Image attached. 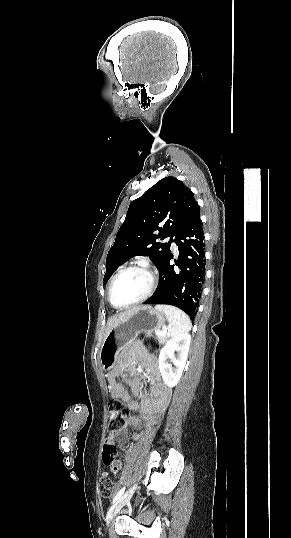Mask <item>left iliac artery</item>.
<instances>
[{
	"label": "left iliac artery",
	"mask_w": 291,
	"mask_h": 538,
	"mask_svg": "<svg viewBox=\"0 0 291 538\" xmlns=\"http://www.w3.org/2000/svg\"><path fill=\"white\" fill-rule=\"evenodd\" d=\"M124 491H125V487H123V488H121V489L119 490V492H118V493L116 494V496L113 498V501H112L113 504H114L116 501H118V500L122 497Z\"/></svg>",
	"instance_id": "1"
}]
</instances>
